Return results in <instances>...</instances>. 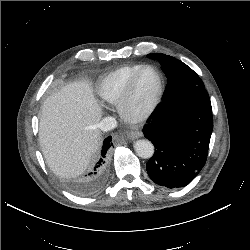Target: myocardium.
<instances>
[{
  "instance_id": "f54148a6",
  "label": "myocardium",
  "mask_w": 250,
  "mask_h": 250,
  "mask_svg": "<svg viewBox=\"0 0 250 250\" xmlns=\"http://www.w3.org/2000/svg\"><path fill=\"white\" fill-rule=\"evenodd\" d=\"M147 70H151L156 74L158 80L157 90L148 106L142 112L134 113L130 109V103L138 80L140 79L141 75ZM163 90L164 82L161 73L153 66H144L143 68H141L130 80L118 103L119 111L123 119L131 124H142L146 122L153 116V114L159 107L163 96Z\"/></svg>"
}]
</instances>
